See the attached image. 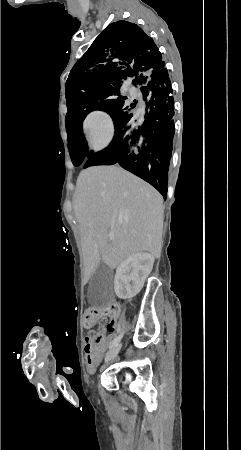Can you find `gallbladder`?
I'll return each instance as SVG.
<instances>
[{
	"label": "gallbladder",
	"instance_id": "obj_1",
	"mask_svg": "<svg viewBox=\"0 0 241 450\" xmlns=\"http://www.w3.org/2000/svg\"><path fill=\"white\" fill-rule=\"evenodd\" d=\"M113 282L114 275L111 270H107L104 262H101L90 282L88 293L90 310H104L107 305L114 304Z\"/></svg>",
	"mask_w": 241,
	"mask_h": 450
}]
</instances>
